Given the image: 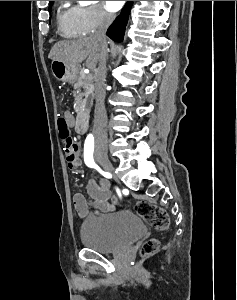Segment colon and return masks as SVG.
<instances>
[{"label":"colon","mask_w":237,"mask_h":300,"mask_svg":"<svg viewBox=\"0 0 237 300\" xmlns=\"http://www.w3.org/2000/svg\"><path fill=\"white\" fill-rule=\"evenodd\" d=\"M59 136L63 142L65 150L69 151L77 145L76 139L72 136L70 127L64 117L58 120ZM135 212L156 230H165L169 226V217L166 211L147 201H137L134 206ZM158 248V241L149 239L141 246V254L148 256L153 254Z\"/></svg>","instance_id":"obj_1"}]
</instances>
